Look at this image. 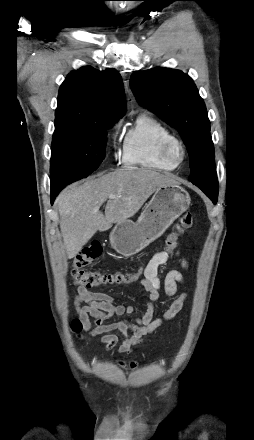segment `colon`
<instances>
[{
    "label": "colon",
    "mask_w": 254,
    "mask_h": 440,
    "mask_svg": "<svg viewBox=\"0 0 254 440\" xmlns=\"http://www.w3.org/2000/svg\"><path fill=\"white\" fill-rule=\"evenodd\" d=\"M194 219L191 213H185L173 232L165 241L167 252H172L178 246V240L183 230L193 226ZM103 249L100 243H92L83 248L74 258L71 274L75 284L85 288H94L104 284L125 285L136 280L142 273V269L135 272L115 271L105 272L101 270H86L85 268L97 261L102 255ZM83 324L79 320L72 322V330L75 333L82 331Z\"/></svg>",
    "instance_id": "obj_1"
}]
</instances>
